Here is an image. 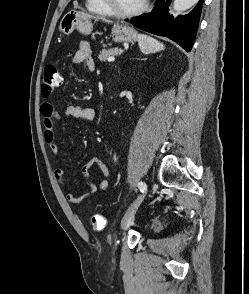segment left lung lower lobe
Returning a JSON list of instances; mask_svg holds the SVG:
<instances>
[{"mask_svg":"<svg viewBox=\"0 0 249 294\" xmlns=\"http://www.w3.org/2000/svg\"><path fill=\"white\" fill-rule=\"evenodd\" d=\"M171 1L157 0L149 14L132 18L130 22L142 30L170 38L189 52L197 33L203 0H200L188 15L177 18L168 13Z\"/></svg>","mask_w":249,"mask_h":294,"instance_id":"obj_1","label":"left lung lower lobe"}]
</instances>
